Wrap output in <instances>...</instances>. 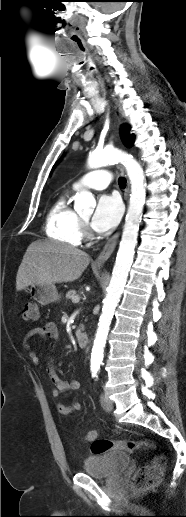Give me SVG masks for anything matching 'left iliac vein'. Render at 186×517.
Returning a JSON list of instances; mask_svg holds the SVG:
<instances>
[{"mask_svg":"<svg viewBox=\"0 0 186 517\" xmlns=\"http://www.w3.org/2000/svg\"><path fill=\"white\" fill-rule=\"evenodd\" d=\"M101 406L106 412H111L113 410V402L109 399L106 394H101L100 396Z\"/></svg>","mask_w":186,"mask_h":517,"instance_id":"obj_1","label":"left iliac vein"}]
</instances>
